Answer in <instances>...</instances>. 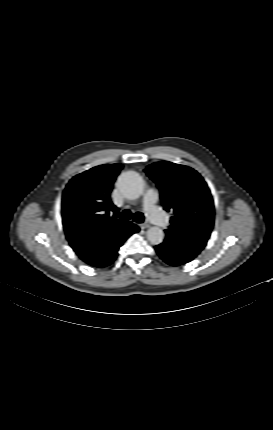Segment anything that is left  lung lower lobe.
Listing matches in <instances>:
<instances>
[{
    "mask_svg": "<svg viewBox=\"0 0 273 430\" xmlns=\"http://www.w3.org/2000/svg\"><path fill=\"white\" fill-rule=\"evenodd\" d=\"M155 249L159 256L171 266L182 265L192 260L178 252L172 241V238L169 235H166L164 242L160 245H157Z\"/></svg>",
    "mask_w": 273,
    "mask_h": 430,
    "instance_id": "1",
    "label": "left lung lower lobe"
}]
</instances>
